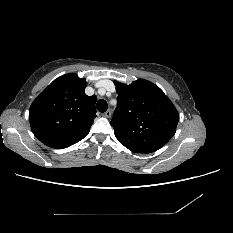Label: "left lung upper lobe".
<instances>
[{
	"mask_svg": "<svg viewBox=\"0 0 233 233\" xmlns=\"http://www.w3.org/2000/svg\"><path fill=\"white\" fill-rule=\"evenodd\" d=\"M117 107L111 126L116 138L135 153H151L175 134L179 114L164 92L150 81L114 82Z\"/></svg>",
	"mask_w": 233,
	"mask_h": 233,
	"instance_id": "obj_1",
	"label": "left lung upper lobe"
}]
</instances>
